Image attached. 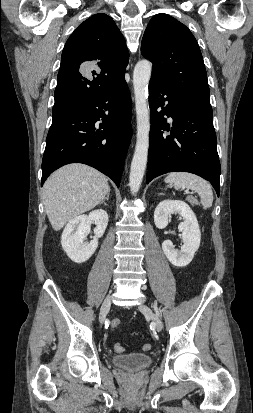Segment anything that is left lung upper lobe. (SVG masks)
I'll use <instances>...</instances> for the list:
<instances>
[{
    "label": "left lung upper lobe",
    "instance_id": "left-lung-upper-lobe-1",
    "mask_svg": "<svg viewBox=\"0 0 253 413\" xmlns=\"http://www.w3.org/2000/svg\"><path fill=\"white\" fill-rule=\"evenodd\" d=\"M141 53L153 63L152 78L173 94L212 111L202 54L184 24L167 14L155 15L144 33Z\"/></svg>",
    "mask_w": 253,
    "mask_h": 413
}]
</instances>
